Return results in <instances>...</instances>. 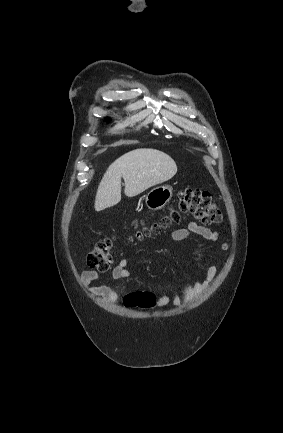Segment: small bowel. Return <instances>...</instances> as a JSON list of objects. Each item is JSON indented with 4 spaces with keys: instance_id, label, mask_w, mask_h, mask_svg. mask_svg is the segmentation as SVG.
<instances>
[{
    "instance_id": "small-bowel-1",
    "label": "small bowel",
    "mask_w": 283,
    "mask_h": 433,
    "mask_svg": "<svg viewBox=\"0 0 283 433\" xmlns=\"http://www.w3.org/2000/svg\"><path fill=\"white\" fill-rule=\"evenodd\" d=\"M195 234L203 239L212 243H218L221 241L220 234L217 231H213L207 227L197 224L196 222H189L185 227L178 228L172 231L171 239L175 242L183 241L190 235ZM228 245L225 242H221L219 246H215V250L221 249L227 250ZM128 260L123 258L113 268L110 277L114 280L125 279L130 277L131 273L127 269ZM217 274V268L214 265H210L206 268L205 276L202 280H196L190 285H187L182 294L174 293L173 295L164 294L157 298L158 305H167L172 303L174 307H181L183 302H189L202 293L210 282L214 279ZM99 279V273L94 270H87L82 274V281L87 287L88 291L94 295L101 297L107 302L115 303L118 300V293L113 286L109 285H97L93 286L92 283Z\"/></svg>"
}]
</instances>
